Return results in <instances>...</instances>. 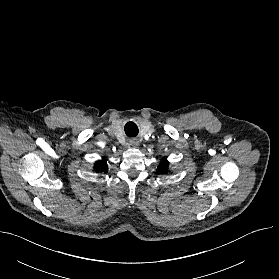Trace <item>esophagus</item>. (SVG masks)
Segmentation results:
<instances>
[{
    "label": "esophagus",
    "instance_id": "obj_1",
    "mask_svg": "<svg viewBox=\"0 0 279 279\" xmlns=\"http://www.w3.org/2000/svg\"><path fill=\"white\" fill-rule=\"evenodd\" d=\"M130 145H132V146H137L138 145V141L137 140H135V139H133V140H130Z\"/></svg>",
    "mask_w": 279,
    "mask_h": 279
}]
</instances>
